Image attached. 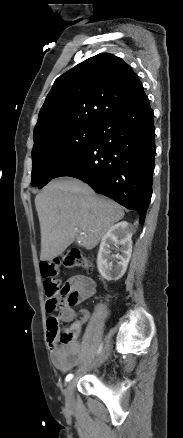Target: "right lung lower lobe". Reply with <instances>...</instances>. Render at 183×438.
Listing matches in <instances>:
<instances>
[{
    "instance_id": "obj_1",
    "label": "right lung lower lobe",
    "mask_w": 183,
    "mask_h": 438,
    "mask_svg": "<svg viewBox=\"0 0 183 438\" xmlns=\"http://www.w3.org/2000/svg\"><path fill=\"white\" fill-rule=\"evenodd\" d=\"M148 97L97 125L91 143L55 176L78 178L97 193L140 213L143 224L152 195L155 128Z\"/></svg>"
}]
</instances>
